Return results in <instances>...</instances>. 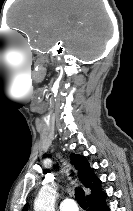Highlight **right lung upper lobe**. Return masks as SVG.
<instances>
[{"label":"right lung upper lobe","mask_w":133,"mask_h":211,"mask_svg":"<svg viewBox=\"0 0 133 211\" xmlns=\"http://www.w3.org/2000/svg\"><path fill=\"white\" fill-rule=\"evenodd\" d=\"M70 157L74 168L77 170L79 180L91 190V194L87 196V201H97L105 197L106 194L101 191V181L94 175L93 169L85 157L74 153ZM23 211H27V205H25Z\"/></svg>","instance_id":"cb5924a9"}]
</instances>
